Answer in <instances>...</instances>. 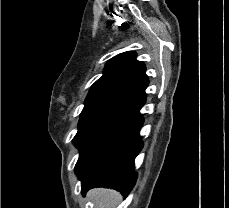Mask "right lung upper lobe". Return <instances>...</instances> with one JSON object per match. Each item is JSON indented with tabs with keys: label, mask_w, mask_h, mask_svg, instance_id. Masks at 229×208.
<instances>
[{
	"label": "right lung upper lobe",
	"mask_w": 229,
	"mask_h": 208,
	"mask_svg": "<svg viewBox=\"0 0 229 208\" xmlns=\"http://www.w3.org/2000/svg\"><path fill=\"white\" fill-rule=\"evenodd\" d=\"M145 65L136 53L124 52L110 59L103 75L92 85L86 103L102 99H120L144 105L149 84Z\"/></svg>",
	"instance_id": "1"
}]
</instances>
